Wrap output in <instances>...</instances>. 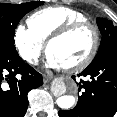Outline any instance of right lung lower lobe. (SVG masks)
Instances as JSON below:
<instances>
[{
	"instance_id": "1",
	"label": "right lung lower lobe",
	"mask_w": 117,
	"mask_h": 117,
	"mask_svg": "<svg viewBox=\"0 0 117 117\" xmlns=\"http://www.w3.org/2000/svg\"><path fill=\"white\" fill-rule=\"evenodd\" d=\"M42 84V75L17 52L0 51V117H24L28 92Z\"/></svg>"
}]
</instances>
